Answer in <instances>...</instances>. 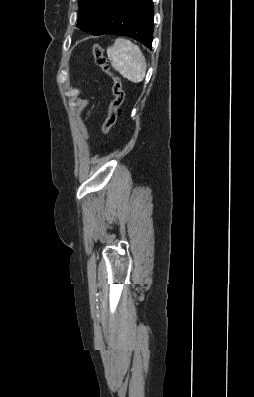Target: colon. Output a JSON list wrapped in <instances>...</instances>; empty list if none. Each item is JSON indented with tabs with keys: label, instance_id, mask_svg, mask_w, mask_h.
Instances as JSON below:
<instances>
[{
	"label": "colon",
	"instance_id": "obj_1",
	"mask_svg": "<svg viewBox=\"0 0 254 397\" xmlns=\"http://www.w3.org/2000/svg\"><path fill=\"white\" fill-rule=\"evenodd\" d=\"M92 51L97 65L111 77L113 82V86H112L113 100L109 105L107 118L105 119L102 125V134L105 136L110 132L111 128L116 123L120 106L122 105L124 100V91L122 88L121 79L110 71V68L107 63V59L103 54V50L101 46L95 43L92 46Z\"/></svg>",
	"mask_w": 254,
	"mask_h": 397
}]
</instances>
